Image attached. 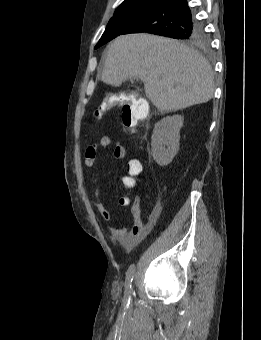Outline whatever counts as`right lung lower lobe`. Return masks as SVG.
I'll return each instance as SVG.
<instances>
[{
  "mask_svg": "<svg viewBox=\"0 0 261 340\" xmlns=\"http://www.w3.org/2000/svg\"><path fill=\"white\" fill-rule=\"evenodd\" d=\"M196 23L187 0H161L122 34L148 32L172 37L191 29Z\"/></svg>",
  "mask_w": 261,
  "mask_h": 340,
  "instance_id": "right-lung-lower-lobe-1",
  "label": "right lung lower lobe"
}]
</instances>
